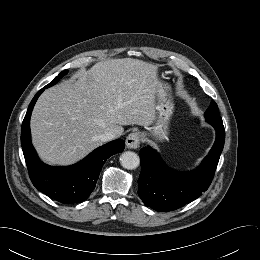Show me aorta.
<instances>
[{
	"label": "aorta",
	"instance_id": "aorta-1",
	"mask_svg": "<svg viewBox=\"0 0 260 260\" xmlns=\"http://www.w3.org/2000/svg\"><path fill=\"white\" fill-rule=\"evenodd\" d=\"M120 163L122 167L128 170L136 169L140 164L139 156L131 151H126L120 156Z\"/></svg>",
	"mask_w": 260,
	"mask_h": 260
}]
</instances>
